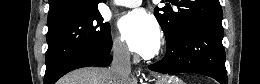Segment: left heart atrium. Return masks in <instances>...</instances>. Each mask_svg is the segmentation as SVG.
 I'll return each mask as SVG.
<instances>
[{
  "label": "left heart atrium",
  "instance_id": "left-heart-atrium-1",
  "mask_svg": "<svg viewBox=\"0 0 260 84\" xmlns=\"http://www.w3.org/2000/svg\"><path fill=\"white\" fill-rule=\"evenodd\" d=\"M119 30L130 49L144 57L153 56L161 42L160 28L143 9H135L119 21Z\"/></svg>",
  "mask_w": 260,
  "mask_h": 84
}]
</instances>
